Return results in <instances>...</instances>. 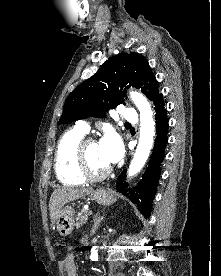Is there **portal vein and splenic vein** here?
Wrapping results in <instances>:
<instances>
[{
    "label": "portal vein and splenic vein",
    "instance_id": "portal-vein-and-splenic-vein-1",
    "mask_svg": "<svg viewBox=\"0 0 221 276\" xmlns=\"http://www.w3.org/2000/svg\"><path fill=\"white\" fill-rule=\"evenodd\" d=\"M88 214H89V215H92V214H93L92 210H90V211L88 212Z\"/></svg>",
    "mask_w": 221,
    "mask_h": 276
}]
</instances>
